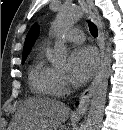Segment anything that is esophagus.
I'll use <instances>...</instances> for the list:
<instances>
[{"label": "esophagus", "mask_w": 123, "mask_h": 130, "mask_svg": "<svg viewBox=\"0 0 123 130\" xmlns=\"http://www.w3.org/2000/svg\"><path fill=\"white\" fill-rule=\"evenodd\" d=\"M86 2H87V5H88L90 13H91V18L98 28V45L100 48V67H99V69H100L101 65L103 63L104 51H105V36H104V31H103V25H102V21L99 16L98 9L95 6L93 0H86ZM96 82H97V74L94 77L91 84L82 93L80 100H79L78 108H76V110L73 112V116L75 118H81L85 115L87 107H88V105L91 101L92 95L94 93Z\"/></svg>", "instance_id": "esophagus-1"}]
</instances>
